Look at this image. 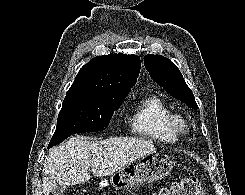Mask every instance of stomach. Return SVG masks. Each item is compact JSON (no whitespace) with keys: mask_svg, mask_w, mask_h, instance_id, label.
Returning a JSON list of instances; mask_svg holds the SVG:
<instances>
[{"mask_svg":"<svg viewBox=\"0 0 245 195\" xmlns=\"http://www.w3.org/2000/svg\"><path fill=\"white\" fill-rule=\"evenodd\" d=\"M173 161L166 154L155 152L146 154L113 173L108 180H102L101 187L109 183L117 190L161 180L168 176Z\"/></svg>","mask_w":245,"mask_h":195,"instance_id":"obj_1","label":"stomach"}]
</instances>
